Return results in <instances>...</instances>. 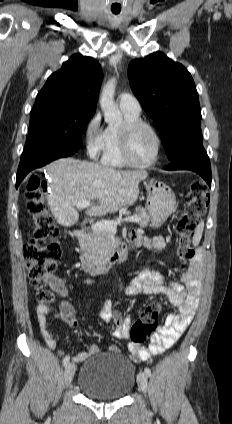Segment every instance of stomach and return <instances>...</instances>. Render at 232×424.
I'll return each mask as SVG.
<instances>
[{
	"label": "stomach",
	"mask_w": 232,
	"mask_h": 424,
	"mask_svg": "<svg viewBox=\"0 0 232 424\" xmlns=\"http://www.w3.org/2000/svg\"><path fill=\"white\" fill-rule=\"evenodd\" d=\"M147 208L152 225L159 227L177 210L176 197L172 189L158 181L151 179L146 184Z\"/></svg>",
	"instance_id": "1"
}]
</instances>
